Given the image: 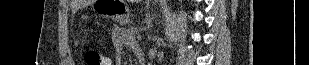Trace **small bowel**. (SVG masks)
Returning <instances> with one entry per match:
<instances>
[{
    "mask_svg": "<svg viewBox=\"0 0 309 65\" xmlns=\"http://www.w3.org/2000/svg\"><path fill=\"white\" fill-rule=\"evenodd\" d=\"M114 45L117 51L116 60L113 61L111 58L104 56L106 62L103 65H124L121 61V53L124 46H128L133 51H135L136 48L140 47V45L131 35V33L123 28H120L116 36L114 37Z\"/></svg>",
    "mask_w": 309,
    "mask_h": 65,
    "instance_id": "c3829d8e",
    "label": "small bowel"
}]
</instances>
